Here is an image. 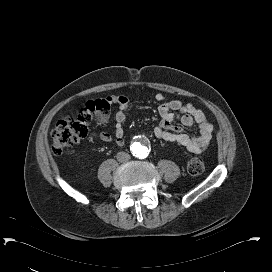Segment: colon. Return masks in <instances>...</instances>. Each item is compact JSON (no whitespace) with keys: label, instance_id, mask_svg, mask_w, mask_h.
I'll use <instances>...</instances> for the list:
<instances>
[{"label":"colon","instance_id":"colon-1","mask_svg":"<svg viewBox=\"0 0 272 272\" xmlns=\"http://www.w3.org/2000/svg\"><path fill=\"white\" fill-rule=\"evenodd\" d=\"M111 103L108 99H96L88 102L77 114L61 119L52 129V153L62 154L84 139L89 132V126L94 119L106 121ZM205 169L200 157H191L187 163V171L191 175H199Z\"/></svg>","mask_w":272,"mask_h":272}]
</instances>
